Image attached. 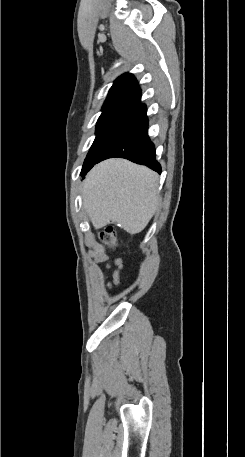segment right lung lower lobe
Masks as SVG:
<instances>
[{"mask_svg": "<svg viewBox=\"0 0 245 457\" xmlns=\"http://www.w3.org/2000/svg\"><path fill=\"white\" fill-rule=\"evenodd\" d=\"M147 128L146 106L139 104L129 112L96 163L111 157H121L146 165L160 173L161 166L155 160V147L148 137Z\"/></svg>", "mask_w": 245, "mask_h": 457, "instance_id": "obj_1", "label": "right lung lower lobe"}]
</instances>
